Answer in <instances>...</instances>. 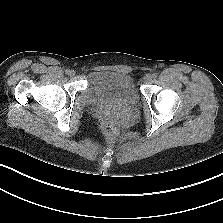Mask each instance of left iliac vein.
I'll list each match as a JSON object with an SVG mask.
<instances>
[{
  "mask_svg": "<svg viewBox=\"0 0 223 223\" xmlns=\"http://www.w3.org/2000/svg\"><path fill=\"white\" fill-rule=\"evenodd\" d=\"M152 79H153V76L151 74H146L143 78L145 83H150Z\"/></svg>",
  "mask_w": 223,
  "mask_h": 223,
  "instance_id": "4c4485c4",
  "label": "left iliac vein"
}]
</instances>
